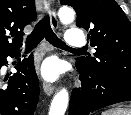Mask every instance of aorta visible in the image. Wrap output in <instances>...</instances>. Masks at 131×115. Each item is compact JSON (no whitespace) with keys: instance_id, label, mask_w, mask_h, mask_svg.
I'll return each mask as SVG.
<instances>
[{"instance_id":"obj_1","label":"aorta","mask_w":131,"mask_h":115,"mask_svg":"<svg viewBox=\"0 0 131 115\" xmlns=\"http://www.w3.org/2000/svg\"><path fill=\"white\" fill-rule=\"evenodd\" d=\"M74 11L69 7H62L58 11L62 23L68 24L74 20ZM69 95L66 89L60 90L53 98L49 115H64L68 106Z\"/></svg>"}]
</instances>
